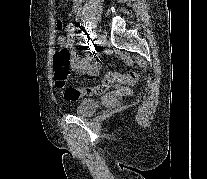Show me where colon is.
<instances>
[{"instance_id": "obj_1", "label": "colon", "mask_w": 207, "mask_h": 179, "mask_svg": "<svg viewBox=\"0 0 207 179\" xmlns=\"http://www.w3.org/2000/svg\"><path fill=\"white\" fill-rule=\"evenodd\" d=\"M63 25L64 18L60 17L58 19V26L61 28ZM65 39L66 36H62L61 40L64 41ZM70 59L71 54L69 50L63 43H61L54 53V77L57 86L62 90V96L65 100L70 102L76 101L83 96L103 94L116 84H135L143 75L142 71L130 72L127 74L108 72L100 85L88 86L84 88L66 86V82L71 73Z\"/></svg>"}]
</instances>
